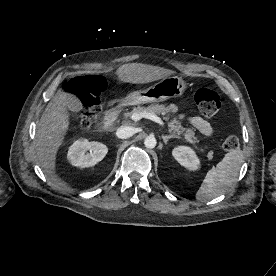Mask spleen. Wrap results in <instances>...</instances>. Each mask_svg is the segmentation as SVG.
Returning a JSON list of instances; mask_svg holds the SVG:
<instances>
[{"instance_id":"spleen-1","label":"spleen","mask_w":276,"mask_h":276,"mask_svg":"<svg viewBox=\"0 0 276 276\" xmlns=\"http://www.w3.org/2000/svg\"><path fill=\"white\" fill-rule=\"evenodd\" d=\"M243 160V152L239 149L227 153L215 168L207 172L196 193V199L206 202L223 194L235 181Z\"/></svg>"}]
</instances>
